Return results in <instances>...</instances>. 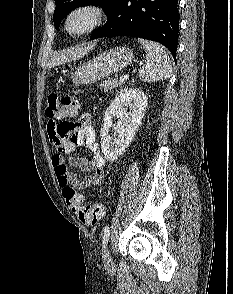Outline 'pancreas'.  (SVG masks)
Segmentation results:
<instances>
[{"label":"pancreas","instance_id":"obj_1","mask_svg":"<svg viewBox=\"0 0 233 294\" xmlns=\"http://www.w3.org/2000/svg\"><path fill=\"white\" fill-rule=\"evenodd\" d=\"M125 84L124 81L118 79H108L101 83V87L104 88V91L107 92L108 90H112L113 88L121 87Z\"/></svg>","mask_w":233,"mask_h":294}]
</instances>
